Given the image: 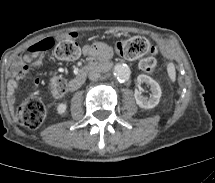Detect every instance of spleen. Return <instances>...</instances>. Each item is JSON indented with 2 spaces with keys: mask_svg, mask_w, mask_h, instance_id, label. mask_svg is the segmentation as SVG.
<instances>
[{
  "mask_svg": "<svg viewBox=\"0 0 215 183\" xmlns=\"http://www.w3.org/2000/svg\"><path fill=\"white\" fill-rule=\"evenodd\" d=\"M167 70H168V75H169L170 79L174 82L176 79V71H175L174 65L169 64Z\"/></svg>",
  "mask_w": 215,
  "mask_h": 183,
  "instance_id": "obj_1",
  "label": "spleen"
}]
</instances>
